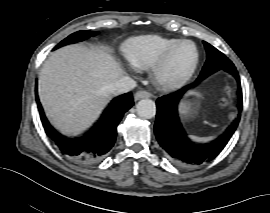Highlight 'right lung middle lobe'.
Returning a JSON list of instances; mask_svg holds the SVG:
<instances>
[{"instance_id":"right-lung-middle-lobe-1","label":"right lung middle lobe","mask_w":270,"mask_h":213,"mask_svg":"<svg viewBox=\"0 0 270 213\" xmlns=\"http://www.w3.org/2000/svg\"><path fill=\"white\" fill-rule=\"evenodd\" d=\"M93 34H95V33L91 32V31H78V32H75V33L71 34L70 36H68L66 39H64L62 42H60L54 49H57L59 47L67 45L69 43L83 41V40L89 38L90 36H92Z\"/></svg>"}]
</instances>
